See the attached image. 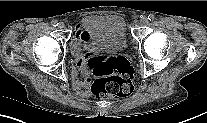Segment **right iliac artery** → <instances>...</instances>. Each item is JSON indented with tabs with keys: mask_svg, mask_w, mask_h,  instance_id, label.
Listing matches in <instances>:
<instances>
[{
	"mask_svg": "<svg viewBox=\"0 0 207 123\" xmlns=\"http://www.w3.org/2000/svg\"><path fill=\"white\" fill-rule=\"evenodd\" d=\"M51 24H52L54 27H56V26H58L59 23H58L57 20H52Z\"/></svg>",
	"mask_w": 207,
	"mask_h": 123,
	"instance_id": "obj_1",
	"label": "right iliac artery"
}]
</instances>
